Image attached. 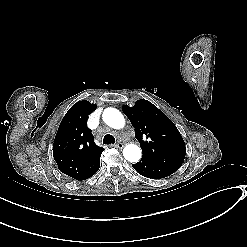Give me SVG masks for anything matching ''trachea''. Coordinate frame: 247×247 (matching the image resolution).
Here are the masks:
<instances>
[{
    "label": "trachea",
    "mask_w": 247,
    "mask_h": 247,
    "mask_svg": "<svg viewBox=\"0 0 247 247\" xmlns=\"http://www.w3.org/2000/svg\"><path fill=\"white\" fill-rule=\"evenodd\" d=\"M104 144H114L115 143V138L111 134H106L103 139Z\"/></svg>",
    "instance_id": "obj_1"
}]
</instances>
